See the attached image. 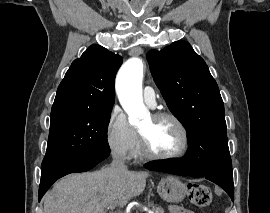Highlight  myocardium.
Returning a JSON list of instances; mask_svg holds the SVG:
<instances>
[{"label":"myocardium","mask_w":270,"mask_h":213,"mask_svg":"<svg viewBox=\"0 0 270 213\" xmlns=\"http://www.w3.org/2000/svg\"><path fill=\"white\" fill-rule=\"evenodd\" d=\"M152 118L155 121L165 118L171 119L177 125L182 134V146L179 150L171 154H156L150 149L145 135L139 131V146L142 157L148 160H174L183 157L189 149L190 140L188 130L182 120L174 113L168 111L155 112L152 114Z\"/></svg>","instance_id":"myocardium-1"}]
</instances>
